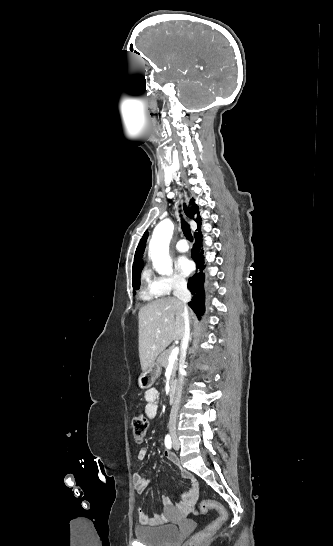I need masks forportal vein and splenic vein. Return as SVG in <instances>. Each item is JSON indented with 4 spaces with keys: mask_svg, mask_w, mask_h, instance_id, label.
Here are the masks:
<instances>
[{
    "mask_svg": "<svg viewBox=\"0 0 333 546\" xmlns=\"http://www.w3.org/2000/svg\"><path fill=\"white\" fill-rule=\"evenodd\" d=\"M178 354H179V348L178 347L173 348V350H172V352H171V354L169 356L168 362L169 363H174L175 360L177 359Z\"/></svg>",
    "mask_w": 333,
    "mask_h": 546,
    "instance_id": "18ae733b",
    "label": "portal vein and splenic vein"
}]
</instances>
